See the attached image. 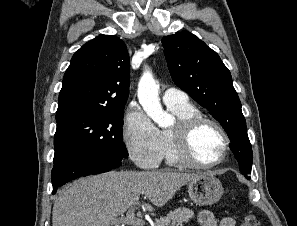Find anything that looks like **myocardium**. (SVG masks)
I'll return each mask as SVG.
<instances>
[{
    "instance_id": "myocardium-1",
    "label": "myocardium",
    "mask_w": 297,
    "mask_h": 226,
    "mask_svg": "<svg viewBox=\"0 0 297 226\" xmlns=\"http://www.w3.org/2000/svg\"><path fill=\"white\" fill-rule=\"evenodd\" d=\"M203 124H211L221 133L224 145L218 159L210 163L199 162L191 152V137L194 131ZM175 153L183 165L196 169H210L221 164L227 155L230 146V137L225 128L215 119L197 115L187 119L178 120L169 130Z\"/></svg>"
}]
</instances>
